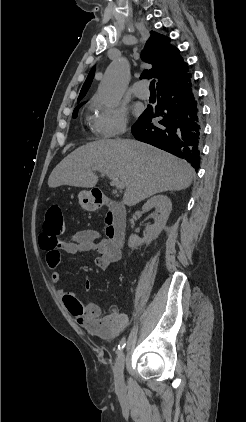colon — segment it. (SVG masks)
Masks as SVG:
<instances>
[{"label": "colon", "instance_id": "5ec220e1", "mask_svg": "<svg viewBox=\"0 0 246 422\" xmlns=\"http://www.w3.org/2000/svg\"><path fill=\"white\" fill-rule=\"evenodd\" d=\"M65 228L64 217L60 205L54 203L48 206L45 214L44 231L58 236Z\"/></svg>", "mask_w": 246, "mask_h": 422}]
</instances>
